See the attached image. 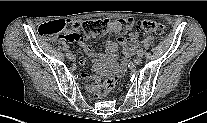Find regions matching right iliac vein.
<instances>
[{
	"mask_svg": "<svg viewBox=\"0 0 207 123\" xmlns=\"http://www.w3.org/2000/svg\"><path fill=\"white\" fill-rule=\"evenodd\" d=\"M69 59H70L71 61H75V60H76V57H75L73 54H71V55L69 56Z\"/></svg>",
	"mask_w": 207,
	"mask_h": 123,
	"instance_id": "63e3f726",
	"label": "right iliac vein"
}]
</instances>
